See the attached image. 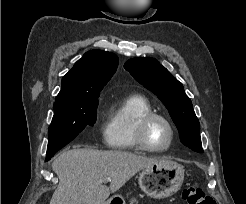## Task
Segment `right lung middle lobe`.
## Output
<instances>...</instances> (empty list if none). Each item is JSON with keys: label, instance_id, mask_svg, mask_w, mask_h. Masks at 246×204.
Returning <instances> with one entry per match:
<instances>
[{"label": "right lung middle lobe", "instance_id": "right-lung-middle-lobe-1", "mask_svg": "<svg viewBox=\"0 0 246 204\" xmlns=\"http://www.w3.org/2000/svg\"><path fill=\"white\" fill-rule=\"evenodd\" d=\"M98 97L99 95H93L79 100L54 103L46 159L53 157L86 126H92L96 122Z\"/></svg>", "mask_w": 246, "mask_h": 204}]
</instances>
